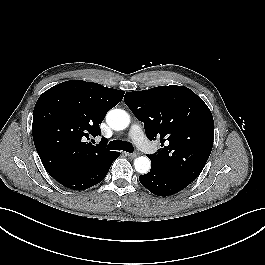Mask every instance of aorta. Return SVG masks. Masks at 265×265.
<instances>
[{"mask_svg": "<svg viewBox=\"0 0 265 265\" xmlns=\"http://www.w3.org/2000/svg\"><path fill=\"white\" fill-rule=\"evenodd\" d=\"M107 124L114 130H124L130 124L128 113L122 109H113L107 113ZM135 170L138 173L146 174L149 172L151 162L148 157L141 156L134 160Z\"/></svg>", "mask_w": 265, "mask_h": 265, "instance_id": "762f6f07", "label": "aorta"}]
</instances>
